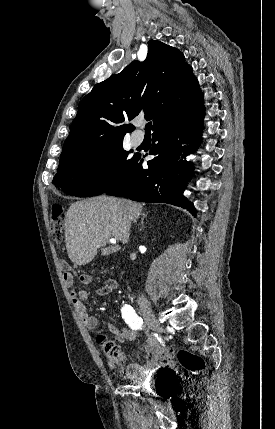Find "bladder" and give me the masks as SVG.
Masks as SVG:
<instances>
[{
    "instance_id": "31cf9c89",
    "label": "bladder",
    "mask_w": 275,
    "mask_h": 429,
    "mask_svg": "<svg viewBox=\"0 0 275 429\" xmlns=\"http://www.w3.org/2000/svg\"><path fill=\"white\" fill-rule=\"evenodd\" d=\"M172 377H149L135 381L136 387H144L147 398H176V389H171Z\"/></svg>"
}]
</instances>
